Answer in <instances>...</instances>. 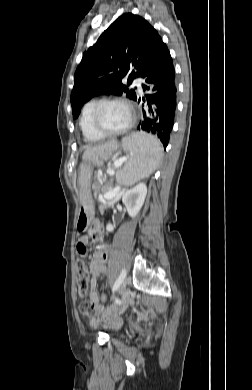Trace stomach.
Wrapping results in <instances>:
<instances>
[{
    "instance_id": "1",
    "label": "stomach",
    "mask_w": 252,
    "mask_h": 390,
    "mask_svg": "<svg viewBox=\"0 0 252 390\" xmlns=\"http://www.w3.org/2000/svg\"><path fill=\"white\" fill-rule=\"evenodd\" d=\"M117 149L118 144L116 142H110L105 147L85 151L78 180L81 201L76 223L78 227L85 228L88 226L95 215L90 192L93 170L95 167H101Z\"/></svg>"
}]
</instances>
